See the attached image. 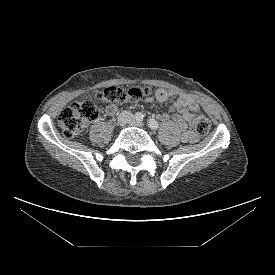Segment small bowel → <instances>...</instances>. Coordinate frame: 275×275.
<instances>
[{"mask_svg": "<svg viewBox=\"0 0 275 275\" xmlns=\"http://www.w3.org/2000/svg\"><path fill=\"white\" fill-rule=\"evenodd\" d=\"M176 98L170 110L172 119L181 130V138L184 142L193 143L197 140L196 134L192 127L195 122L194 111L198 109L196 101L187 94L179 93L175 90L158 89L155 92V99L161 103ZM119 108L116 104H109L105 111L109 116H113L118 112ZM167 116H163V120H167Z\"/></svg>", "mask_w": 275, "mask_h": 275, "instance_id": "small-bowel-1", "label": "small bowel"}]
</instances>
